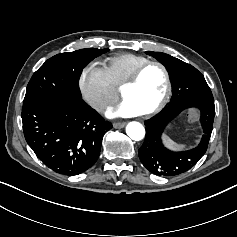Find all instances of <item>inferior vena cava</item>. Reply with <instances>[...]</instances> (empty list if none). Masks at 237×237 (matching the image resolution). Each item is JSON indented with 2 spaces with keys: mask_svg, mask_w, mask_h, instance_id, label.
<instances>
[{
  "mask_svg": "<svg viewBox=\"0 0 237 237\" xmlns=\"http://www.w3.org/2000/svg\"><path fill=\"white\" fill-rule=\"evenodd\" d=\"M92 107L97 111H103L107 107L106 101L93 102Z\"/></svg>",
  "mask_w": 237,
  "mask_h": 237,
  "instance_id": "602c4592",
  "label": "inferior vena cava"
}]
</instances>
